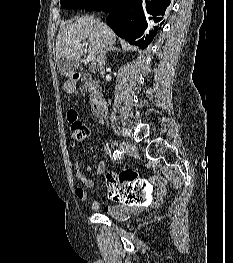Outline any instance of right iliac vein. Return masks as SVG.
I'll return each instance as SVG.
<instances>
[{"mask_svg":"<svg viewBox=\"0 0 233 263\" xmlns=\"http://www.w3.org/2000/svg\"><path fill=\"white\" fill-rule=\"evenodd\" d=\"M119 148L122 152L127 154H134L136 152V147L130 142L126 141L120 142Z\"/></svg>","mask_w":233,"mask_h":263,"instance_id":"63e3f726","label":"right iliac vein"}]
</instances>
